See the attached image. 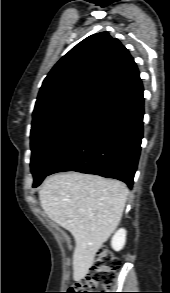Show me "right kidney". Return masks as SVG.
<instances>
[{
    "instance_id": "obj_1",
    "label": "right kidney",
    "mask_w": 170,
    "mask_h": 293,
    "mask_svg": "<svg viewBox=\"0 0 170 293\" xmlns=\"http://www.w3.org/2000/svg\"><path fill=\"white\" fill-rule=\"evenodd\" d=\"M126 242V230L121 228L117 230L112 237L111 246L115 251L123 249Z\"/></svg>"
}]
</instances>
